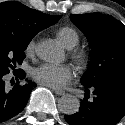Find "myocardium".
Returning <instances> with one entry per match:
<instances>
[{"instance_id":"obj_1","label":"myocardium","mask_w":125,"mask_h":125,"mask_svg":"<svg viewBox=\"0 0 125 125\" xmlns=\"http://www.w3.org/2000/svg\"><path fill=\"white\" fill-rule=\"evenodd\" d=\"M71 57L78 66H83L87 61L88 55L84 49L74 48L71 51Z\"/></svg>"}]
</instances>
